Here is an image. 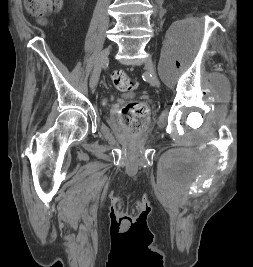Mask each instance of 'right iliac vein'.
Masks as SVG:
<instances>
[{"mask_svg":"<svg viewBox=\"0 0 253 267\" xmlns=\"http://www.w3.org/2000/svg\"><path fill=\"white\" fill-rule=\"evenodd\" d=\"M110 54V48H105L104 50H102L96 60L95 66H94V70L92 72V76L90 79V85L92 88H94L99 80V75H100V71L101 68L105 65L106 60L108 59V56Z\"/></svg>","mask_w":253,"mask_h":267,"instance_id":"1","label":"right iliac vein"}]
</instances>
